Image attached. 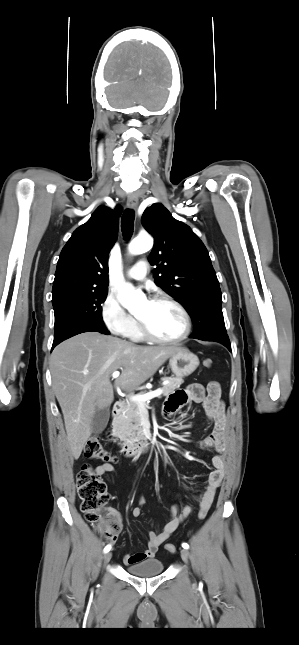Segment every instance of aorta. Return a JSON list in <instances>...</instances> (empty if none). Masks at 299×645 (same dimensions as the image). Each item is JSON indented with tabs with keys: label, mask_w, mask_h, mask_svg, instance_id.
<instances>
[{
	"label": "aorta",
	"mask_w": 299,
	"mask_h": 645,
	"mask_svg": "<svg viewBox=\"0 0 299 645\" xmlns=\"http://www.w3.org/2000/svg\"><path fill=\"white\" fill-rule=\"evenodd\" d=\"M153 246V239L148 236L136 237L129 245V252L138 255L149 251ZM145 295L141 291L135 290L132 285L124 284L119 289L118 300L123 307L133 313L140 307Z\"/></svg>",
	"instance_id": "aorta-1"
}]
</instances>
